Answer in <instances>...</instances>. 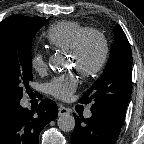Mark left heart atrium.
<instances>
[{
	"mask_svg": "<svg viewBox=\"0 0 144 144\" xmlns=\"http://www.w3.org/2000/svg\"><path fill=\"white\" fill-rule=\"evenodd\" d=\"M46 88L52 96L66 100L76 90L77 78L74 75L60 76L48 83Z\"/></svg>",
	"mask_w": 144,
	"mask_h": 144,
	"instance_id": "left-heart-atrium-1",
	"label": "left heart atrium"
}]
</instances>
